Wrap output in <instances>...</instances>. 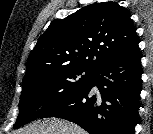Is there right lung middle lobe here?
Segmentation results:
<instances>
[{
	"label": "right lung middle lobe",
	"mask_w": 153,
	"mask_h": 134,
	"mask_svg": "<svg viewBox=\"0 0 153 134\" xmlns=\"http://www.w3.org/2000/svg\"><path fill=\"white\" fill-rule=\"evenodd\" d=\"M93 70L80 67H60L28 78L22 83L19 115L14 129L39 118L85 86Z\"/></svg>",
	"instance_id": "dd1d6c3e"
}]
</instances>
